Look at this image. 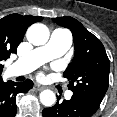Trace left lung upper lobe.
Segmentation results:
<instances>
[{"mask_svg":"<svg viewBox=\"0 0 117 117\" xmlns=\"http://www.w3.org/2000/svg\"><path fill=\"white\" fill-rule=\"evenodd\" d=\"M56 24L71 30L75 53L63 76L74 95L85 99L95 108L108 89L110 64L101 41L90 33L78 20L69 17L52 19Z\"/></svg>","mask_w":117,"mask_h":117,"instance_id":"5c2ea615","label":"left lung upper lobe"}]
</instances>
